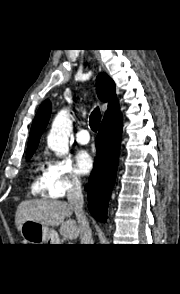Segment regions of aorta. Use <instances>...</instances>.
<instances>
[{
    "label": "aorta",
    "mask_w": 180,
    "mask_h": 294,
    "mask_svg": "<svg viewBox=\"0 0 180 294\" xmlns=\"http://www.w3.org/2000/svg\"><path fill=\"white\" fill-rule=\"evenodd\" d=\"M72 131V121L67 109L61 110L52 123L50 133L47 137L48 147L57 156H63L68 152L69 136Z\"/></svg>",
    "instance_id": "aorta-1"
}]
</instances>
